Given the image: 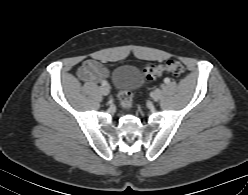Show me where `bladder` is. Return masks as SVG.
Masks as SVG:
<instances>
[{"label":"bladder","mask_w":248,"mask_h":195,"mask_svg":"<svg viewBox=\"0 0 248 195\" xmlns=\"http://www.w3.org/2000/svg\"><path fill=\"white\" fill-rule=\"evenodd\" d=\"M142 76L137 67L121 65L114 71V86L120 90L133 91L141 86Z\"/></svg>","instance_id":"obj_1"}]
</instances>
